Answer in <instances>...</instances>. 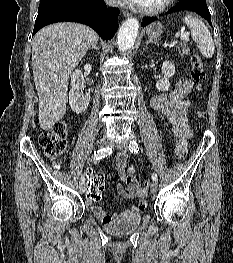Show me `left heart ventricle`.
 <instances>
[{
	"instance_id": "left-heart-ventricle-1",
	"label": "left heart ventricle",
	"mask_w": 233,
	"mask_h": 263,
	"mask_svg": "<svg viewBox=\"0 0 233 263\" xmlns=\"http://www.w3.org/2000/svg\"><path fill=\"white\" fill-rule=\"evenodd\" d=\"M163 0H141L139 5L144 7H154L160 4Z\"/></svg>"
}]
</instances>
